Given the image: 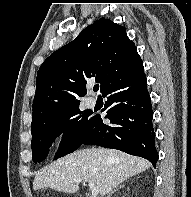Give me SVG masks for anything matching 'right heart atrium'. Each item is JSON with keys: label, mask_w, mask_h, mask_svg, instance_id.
I'll return each instance as SVG.
<instances>
[{"label": "right heart atrium", "mask_w": 191, "mask_h": 197, "mask_svg": "<svg viewBox=\"0 0 191 197\" xmlns=\"http://www.w3.org/2000/svg\"><path fill=\"white\" fill-rule=\"evenodd\" d=\"M67 133H68V132H67V131H65V132H63V135L65 136V135H67Z\"/></svg>", "instance_id": "1"}]
</instances>
